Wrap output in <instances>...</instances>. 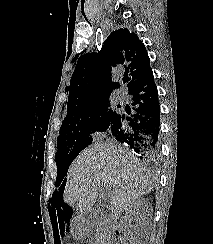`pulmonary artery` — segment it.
<instances>
[{
    "mask_svg": "<svg viewBox=\"0 0 213 244\" xmlns=\"http://www.w3.org/2000/svg\"><path fill=\"white\" fill-rule=\"evenodd\" d=\"M115 97L118 101H123L124 100V93L120 90L115 92Z\"/></svg>",
    "mask_w": 213,
    "mask_h": 244,
    "instance_id": "1",
    "label": "pulmonary artery"
}]
</instances>
